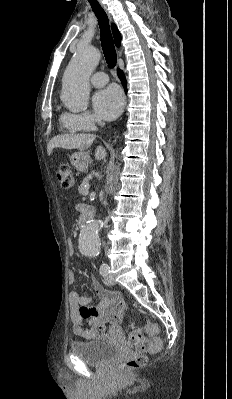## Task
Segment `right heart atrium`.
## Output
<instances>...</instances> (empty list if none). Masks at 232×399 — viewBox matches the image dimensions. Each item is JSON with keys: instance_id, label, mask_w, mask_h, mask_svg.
<instances>
[{"instance_id": "right-heart-atrium-1", "label": "right heart atrium", "mask_w": 232, "mask_h": 399, "mask_svg": "<svg viewBox=\"0 0 232 399\" xmlns=\"http://www.w3.org/2000/svg\"><path fill=\"white\" fill-rule=\"evenodd\" d=\"M66 104H79V103H66ZM65 116L76 121L82 128H84L87 131L92 130L96 122L95 117L88 112L80 114H66Z\"/></svg>"}]
</instances>
